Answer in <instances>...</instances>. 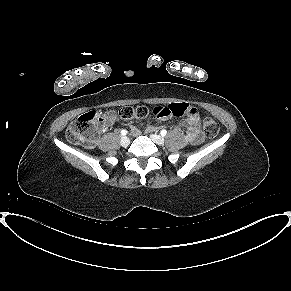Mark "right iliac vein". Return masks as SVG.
I'll use <instances>...</instances> for the list:
<instances>
[{
    "label": "right iliac vein",
    "instance_id": "63e3f726",
    "mask_svg": "<svg viewBox=\"0 0 291 291\" xmlns=\"http://www.w3.org/2000/svg\"><path fill=\"white\" fill-rule=\"evenodd\" d=\"M130 143V140L128 137L124 136L120 139V145L123 147H127Z\"/></svg>",
    "mask_w": 291,
    "mask_h": 291
}]
</instances>
